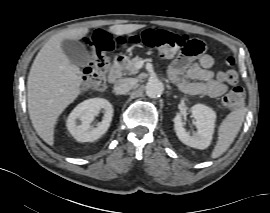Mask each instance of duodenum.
I'll list each match as a JSON object with an SVG mask.
<instances>
[{"mask_svg":"<svg viewBox=\"0 0 270 213\" xmlns=\"http://www.w3.org/2000/svg\"><path fill=\"white\" fill-rule=\"evenodd\" d=\"M122 59L123 56L120 54L111 57V63L108 69V79L112 83L117 82L120 78V62Z\"/></svg>","mask_w":270,"mask_h":213,"instance_id":"410a0bca","label":"duodenum"}]
</instances>
